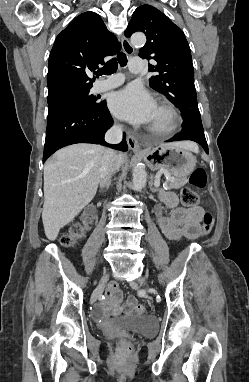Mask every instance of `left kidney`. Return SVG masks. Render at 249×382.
Segmentation results:
<instances>
[{
  "label": "left kidney",
  "instance_id": "5707ae66",
  "mask_svg": "<svg viewBox=\"0 0 249 382\" xmlns=\"http://www.w3.org/2000/svg\"><path fill=\"white\" fill-rule=\"evenodd\" d=\"M155 205H156V207L160 208V207H162L163 204H162V202L158 201V202H156Z\"/></svg>",
  "mask_w": 249,
  "mask_h": 382
}]
</instances>
